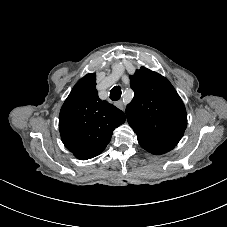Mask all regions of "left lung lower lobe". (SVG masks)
Segmentation results:
<instances>
[{
	"instance_id": "obj_1",
	"label": "left lung lower lobe",
	"mask_w": 227,
	"mask_h": 227,
	"mask_svg": "<svg viewBox=\"0 0 227 227\" xmlns=\"http://www.w3.org/2000/svg\"><path fill=\"white\" fill-rule=\"evenodd\" d=\"M134 132L138 136V142L141 147L152 154H164L175 147L174 144L159 138L144 129H135Z\"/></svg>"
}]
</instances>
